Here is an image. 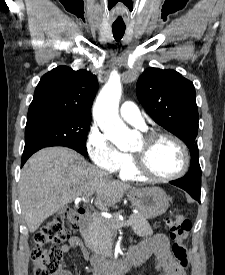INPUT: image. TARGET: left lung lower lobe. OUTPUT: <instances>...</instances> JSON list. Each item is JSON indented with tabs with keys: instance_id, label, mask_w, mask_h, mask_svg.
Listing matches in <instances>:
<instances>
[{
	"instance_id": "obj_1",
	"label": "left lung lower lobe",
	"mask_w": 225,
	"mask_h": 275,
	"mask_svg": "<svg viewBox=\"0 0 225 275\" xmlns=\"http://www.w3.org/2000/svg\"><path fill=\"white\" fill-rule=\"evenodd\" d=\"M170 183L184 189L194 199L200 202L201 171L189 170L184 177L170 181Z\"/></svg>"
}]
</instances>
